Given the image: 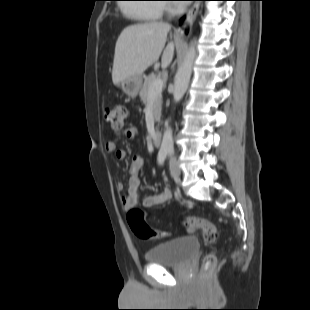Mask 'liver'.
Wrapping results in <instances>:
<instances>
[{"label":"liver","instance_id":"liver-1","mask_svg":"<svg viewBox=\"0 0 310 310\" xmlns=\"http://www.w3.org/2000/svg\"><path fill=\"white\" fill-rule=\"evenodd\" d=\"M171 25L150 22L126 27L117 39L112 69L115 85L120 81L140 76L148 67L156 63L165 47ZM175 43H168L162 54V67L170 65Z\"/></svg>","mask_w":310,"mask_h":310}]
</instances>
